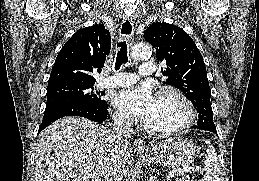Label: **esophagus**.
<instances>
[{
	"label": "esophagus",
	"mask_w": 259,
	"mask_h": 181,
	"mask_svg": "<svg viewBox=\"0 0 259 181\" xmlns=\"http://www.w3.org/2000/svg\"><path fill=\"white\" fill-rule=\"evenodd\" d=\"M134 33V24L132 18H124L119 28L121 38H131ZM134 146L137 150H146L147 146L143 139L138 138L134 141Z\"/></svg>",
	"instance_id": "1"
}]
</instances>
